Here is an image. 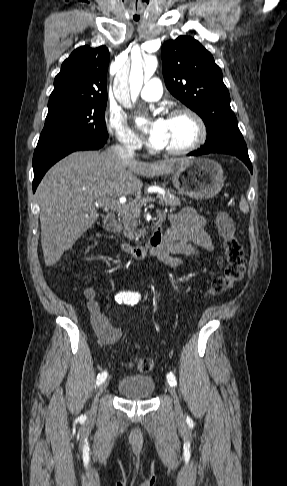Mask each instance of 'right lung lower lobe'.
I'll use <instances>...</instances> for the list:
<instances>
[{
	"mask_svg": "<svg viewBox=\"0 0 287 486\" xmlns=\"http://www.w3.org/2000/svg\"><path fill=\"white\" fill-rule=\"evenodd\" d=\"M105 143L106 140L103 142H71L36 148L33 156V192H35L46 171L58 160L74 151L98 150L102 148Z\"/></svg>",
	"mask_w": 287,
	"mask_h": 486,
	"instance_id": "98d812e1",
	"label": "right lung lower lobe"
}]
</instances>
